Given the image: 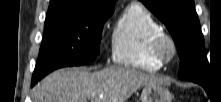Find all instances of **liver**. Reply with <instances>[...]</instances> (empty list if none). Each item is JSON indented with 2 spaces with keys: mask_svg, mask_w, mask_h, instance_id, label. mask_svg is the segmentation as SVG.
<instances>
[{
  "mask_svg": "<svg viewBox=\"0 0 221 102\" xmlns=\"http://www.w3.org/2000/svg\"><path fill=\"white\" fill-rule=\"evenodd\" d=\"M163 80L129 67L97 72L70 68L46 76L34 89V102H125L140 87Z\"/></svg>",
  "mask_w": 221,
  "mask_h": 102,
  "instance_id": "1",
  "label": "liver"
}]
</instances>
